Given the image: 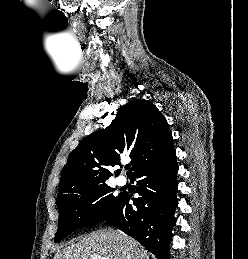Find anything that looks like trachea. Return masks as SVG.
I'll list each match as a JSON object with an SVG mask.
<instances>
[{
  "label": "trachea",
  "mask_w": 248,
  "mask_h": 259,
  "mask_svg": "<svg viewBox=\"0 0 248 259\" xmlns=\"http://www.w3.org/2000/svg\"><path fill=\"white\" fill-rule=\"evenodd\" d=\"M129 168H130V165H127V166L125 167L126 170H128Z\"/></svg>",
  "instance_id": "trachea-1"
}]
</instances>
